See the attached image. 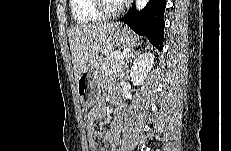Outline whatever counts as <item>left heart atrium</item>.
I'll return each mask as SVG.
<instances>
[{
	"instance_id": "obj_1",
	"label": "left heart atrium",
	"mask_w": 231,
	"mask_h": 151,
	"mask_svg": "<svg viewBox=\"0 0 231 151\" xmlns=\"http://www.w3.org/2000/svg\"><path fill=\"white\" fill-rule=\"evenodd\" d=\"M116 1H118L119 3H127V2H129V0H116Z\"/></svg>"
}]
</instances>
